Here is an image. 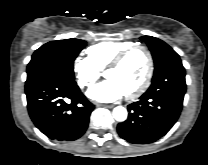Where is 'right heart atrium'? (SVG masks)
I'll return each mask as SVG.
<instances>
[{"label":"right heart atrium","instance_id":"obj_1","mask_svg":"<svg viewBox=\"0 0 208 165\" xmlns=\"http://www.w3.org/2000/svg\"><path fill=\"white\" fill-rule=\"evenodd\" d=\"M73 70L77 83L82 88L90 87L100 77V70L89 57L77 56L73 61Z\"/></svg>","mask_w":208,"mask_h":165}]
</instances>
